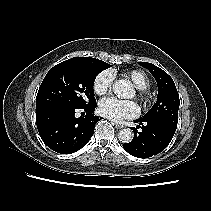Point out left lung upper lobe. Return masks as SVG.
Masks as SVG:
<instances>
[{
  "instance_id": "left-lung-upper-lobe-1",
  "label": "left lung upper lobe",
  "mask_w": 211,
  "mask_h": 211,
  "mask_svg": "<svg viewBox=\"0 0 211 211\" xmlns=\"http://www.w3.org/2000/svg\"><path fill=\"white\" fill-rule=\"evenodd\" d=\"M154 76L158 85L156 104L140 119L158 120L177 128L179 95L173 79L161 68L147 62H138Z\"/></svg>"
}]
</instances>
